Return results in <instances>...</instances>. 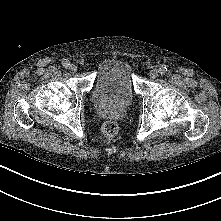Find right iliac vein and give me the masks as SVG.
Listing matches in <instances>:
<instances>
[{
	"instance_id": "obj_1",
	"label": "right iliac vein",
	"mask_w": 221,
	"mask_h": 221,
	"mask_svg": "<svg viewBox=\"0 0 221 221\" xmlns=\"http://www.w3.org/2000/svg\"><path fill=\"white\" fill-rule=\"evenodd\" d=\"M69 70H70V72L74 73V72L77 71V66L74 65V64H71V65L69 66Z\"/></svg>"
}]
</instances>
